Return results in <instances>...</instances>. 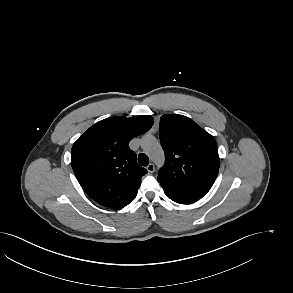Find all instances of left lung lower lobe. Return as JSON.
<instances>
[{"label": "left lung lower lobe", "instance_id": "1", "mask_svg": "<svg viewBox=\"0 0 293 293\" xmlns=\"http://www.w3.org/2000/svg\"><path fill=\"white\" fill-rule=\"evenodd\" d=\"M166 194V193H165ZM171 200L180 203V204H191L197 201L195 198H190L186 196H174L170 194H166Z\"/></svg>", "mask_w": 293, "mask_h": 293}]
</instances>
